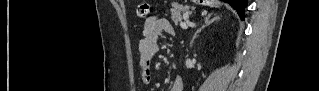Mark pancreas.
Listing matches in <instances>:
<instances>
[{
	"instance_id": "cf45deb5",
	"label": "pancreas",
	"mask_w": 319,
	"mask_h": 91,
	"mask_svg": "<svg viewBox=\"0 0 319 91\" xmlns=\"http://www.w3.org/2000/svg\"><path fill=\"white\" fill-rule=\"evenodd\" d=\"M188 10L189 7L182 5H175L171 9V20L174 22L175 25H178V23L182 21L181 12H188Z\"/></svg>"
}]
</instances>
